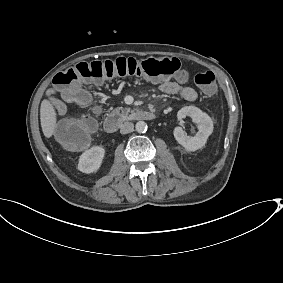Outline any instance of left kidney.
<instances>
[{
    "instance_id": "left-kidney-1",
    "label": "left kidney",
    "mask_w": 283,
    "mask_h": 283,
    "mask_svg": "<svg viewBox=\"0 0 283 283\" xmlns=\"http://www.w3.org/2000/svg\"><path fill=\"white\" fill-rule=\"evenodd\" d=\"M186 116L191 117L192 121L198 124V132L195 136H187L181 127H176L174 137L186 150L196 151L205 145L213 132V121L206 113L195 106L183 107L177 113L178 120H182Z\"/></svg>"
}]
</instances>
